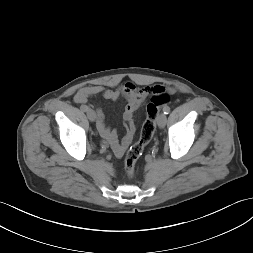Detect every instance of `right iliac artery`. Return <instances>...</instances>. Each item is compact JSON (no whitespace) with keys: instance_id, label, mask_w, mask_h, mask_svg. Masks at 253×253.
I'll return each mask as SVG.
<instances>
[{"instance_id":"1","label":"right iliac artery","mask_w":253,"mask_h":253,"mask_svg":"<svg viewBox=\"0 0 253 253\" xmlns=\"http://www.w3.org/2000/svg\"><path fill=\"white\" fill-rule=\"evenodd\" d=\"M81 110H83V111H88V106H86V105H83V106H81Z\"/></svg>"}]
</instances>
